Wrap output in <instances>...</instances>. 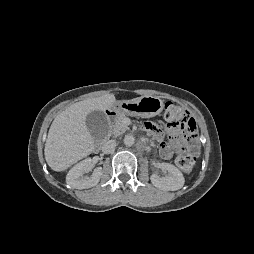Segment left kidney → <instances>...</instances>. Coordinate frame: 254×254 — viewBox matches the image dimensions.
Segmentation results:
<instances>
[{
    "label": "left kidney",
    "instance_id": "obj_1",
    "mask_svg": "<svg viewBox=\"0 0 254 254\" xmlns=\"http://www.w3.org/2000/svg\"><path fill=\"white\" fill-rule=\"evenodd\" d=\"M160 168L168 174L165 177H159L157 174H152L150 179L155 187L166 191H176L183 187L185 179L178 168L165 162L160 163Z\"/></svg>",
    "mask_w": 254,
    "mask_h": 254
}]
</instances>
